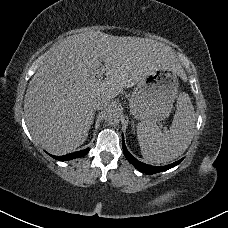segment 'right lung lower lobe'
Returning <instances> with one entry per match:
<instances>
[{
    "label": "right lung lower lobe",
    "instance_id": "1",
    "mask_svg": "<svg viewBox=\"0 0 228 228\" xmlns=\"http://www.w3.org/2000/svg\"><path fill=\"white\" fill-rule=\"evenodd\" d=\"M88 152H89V148L81 150V151H78V152L69 153V154H66V155H63V156H53V155H50V156L55 158L56 160H59V161H67V160H72V159H75V158L83 157Z\"/></svg>",
    "mask_w": 228,
    "mask_h": 228
}]
</instances>
